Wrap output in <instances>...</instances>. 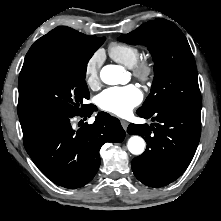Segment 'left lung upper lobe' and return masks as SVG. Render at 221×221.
Listing matches in <instances>:
<instances>
[{
    "label": "left lung upper lobe",
    "instance_id": "left-lung-upper-lobe-1",
    "mask_svg": "<svg viewBox=\"0 0 221 221\" xmlns=\"http://www.w3.org/2000/svg\"><path fill=\"white\" fill-rule=\"evenodd\" d=\"M118 40L145 45L153 56L151 93L140 109L160 103L201 109L194 57L186 37L174 23L165 19L149 21Z\"/></svg>",
    "mask_w": 221,
    "mask_h": 221
}]
</instances>
